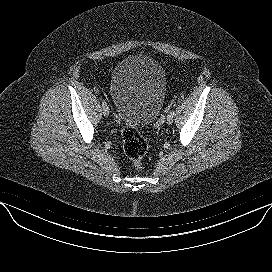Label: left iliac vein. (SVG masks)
Returning a JSON list of instances; mask_svg holds the SVG:
<instances>
[{
  "instance_id": "1",
  "label": "left iliac vein",
  "mask_w": 272,
  "mask_h": 272,
  "mask_svg": "<svg viewBox=\"0 0 272 272\" xmlns=\"http://www.w3.org/2000/svg\"><path fill=\"white\" fill-rule=\"evenodd\" d=\"M173 117H174V115H171V114H168V115H167V122H168L169 124H171V123L173 122Z\"/></svg>"
}]
</instances>
